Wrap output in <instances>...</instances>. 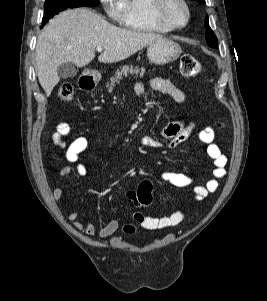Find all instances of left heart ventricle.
Segmentation results:
<instances>
[{
    "instance_id": "left-heart-ventricle-1",
    "label": "left heart ventricle",
    "mask_w": 267,
    "mask_h": 301,
    "mask_svg": "<svg viewBox=\"0 0 267 301\" xmlns=\"http://www.w3.org/2000/svg\"><path fill=\"white\" fill-rule=\"evenodd\" d=\"M169 17L178 24H182L185 20V11L180 3L172 2L168 8Z\"/></svg>"
}]
</instances>
